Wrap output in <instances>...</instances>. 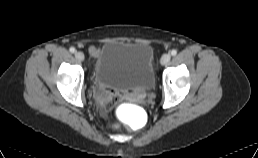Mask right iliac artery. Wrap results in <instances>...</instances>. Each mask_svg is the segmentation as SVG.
I'll list each match as a JSON object with an SVG mask.
<instances>
[{"label":"right iliac artery","mask_w":258,"mask_h":158,"mask_svg":"<svg viewBox=\"0 0 258 158\" xmlns=\"http://www.w3.org/2000/svg\"><path fill=\"white\" fill-rule=\"evenodd\" d=\"M69 50L71 53H74L76 51L74 47H71Z\"/></svg>","instance_id":"right-iliac-artery-1"}]
</instances>
